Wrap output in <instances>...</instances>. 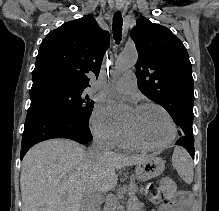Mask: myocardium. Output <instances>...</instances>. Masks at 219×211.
I'll use <instances>...</instances> for the list:
<instances>
[{"mask_svg":"<svg viewBox=\"0 0 219 211\" xmlns=\"http://www.w3.org/2000/svg\"><path fill=\"white\" fill-rule=\"evenodd\" d=\"M146 106L156 107V108L160 109L167 116L169 123H170V126H171V134H170L169 139L162 144L154 145V144L145 143V142L141 141L138 137H136L130 131V129L123 123L124 133H125L126 137L129 139V141L132 142L135 146H137L139 148L147 149V150L165 149L174 142L176 135H177V127H176V123L173 119V116L163 105L156 103V102H153V101L141 102V103L135 105L134 108H143Z\"/></svg>","mask_w":219,"mask_h":211,"instance_id":"1","label":"myocardium"}]
</instances>
